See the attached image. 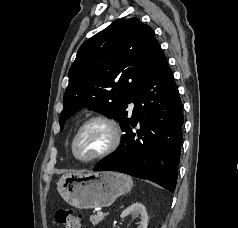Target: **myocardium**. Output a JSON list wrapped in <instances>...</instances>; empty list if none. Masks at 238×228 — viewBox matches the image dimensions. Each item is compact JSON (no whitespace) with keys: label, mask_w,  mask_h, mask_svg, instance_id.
I'll use <instances>...</instances> for the list:
<instances>
[{"label":"myocardium","mask_w":238,"mask_h":228,"mask_svg":"<svg viewBox=\"0 0 238 228\" xmlns=\"http://www.w3.org/2000/svg\"><path fill=\"white\" fill-rule=\"evenodd\" d=\"M95 123H100V124H103L105 127H107L110 133V142L107 145V147L99 154L87 159L80 158L76 153V144H77L78 138L80 137L84 129H86L87 127ZM120 140H121L120 130L115 120H113L112 118L108 116L97 114V115L90 116L79 125L72 139L71 151L74 158L77 161H80L83 163H91V162L104 159L107 156H109L111 153H113L119 146Z\"/></svg>","instance_id":"myocardium-1"}]
</instances>
